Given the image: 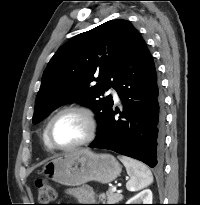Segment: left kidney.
<instances>
[{
    "label": "left kidney",
    "instance_id": "left-kidney-1",
    "mask_svg": "<svg viewBox=\"0 0 200 205\" xmlns=\"http://www.w3.org/2000/svg\"><path fill=\"white\" fill-rule=\"evenodd\" d=\"M152 199V191L150 189H145L130 198L126 204H152Z\"/></svg>",
    "mask_w": 200,
    "mask_h": 205
}]
</instances>
